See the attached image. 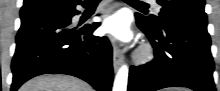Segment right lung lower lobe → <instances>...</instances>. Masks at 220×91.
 I'll return each mask as SVG.
<instances>
[{
    "instance_id": "right-lung-lower-lobe-1",
    "label": "right lung lower lobe",
    "mask_w": 220,
    "mask_h": 91,
    "mask_svg": "<svg viewBox=\"0 0 220 91\" xmlns=\"http://www.w3.org/2000/svg\"><path fill=\"white\" fill-rule=\"evenodd\" d=\"M70 2L55 10H45L21 17L12 61L16 91L35 76L52 73L79 77L97 91H110L113 82L112 48L106 36H93L100 23L73 27L71 18L79 14Z\"/></svg>"
}]
</instances>
